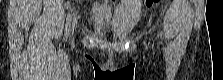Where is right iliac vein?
I'll list each match as a JSON object with an SVG mask.
<instances>
[{"mask_svg":"<svg viewBox=\"0 0 223 80\" xmlns=\"http://www.w3.org/2000/svg\"><path fill=\"white\" fill-rule=\"evenodd\" d=\"M74 26H75V23H73V25H72V31L74 30Z\"/></svg>","mask_w":223,"mask_h":80,"instance_id":"right-iliac-vein-1","label":"right iliac vein"}]
</instances>
